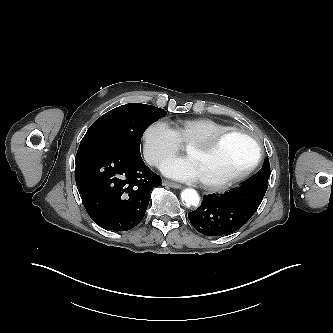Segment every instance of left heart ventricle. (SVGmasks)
Returning <instances> with one entry per match:
<instances>
[{
	"label": "left heart ventricle",
	"instance_id": "obj_1",
	"mask_svg": "<svg viewBox=\"0 0 333 333\" xmlns=\"http://www.w3.org/2000/svg\"><path fill=\"white\" fill-rule=\"evenodd\" d=\"M254 154L252 143L241 135L228 136L211 151L187 149L200 180L207 182H220L236 175L251 163Z\"/></svg>",
	"mask_w": 333,
	"mask_h": 333
}]
</instances>
